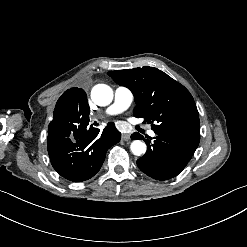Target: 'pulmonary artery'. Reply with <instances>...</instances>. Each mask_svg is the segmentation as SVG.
Listing matches in <instances>:
<instances>
[{"instance_id": "e3ab8cb5", "label": "pulmonary artery", "mask_w": 247, "mask_h": 247, "mask_svg": "<svg viewBox=\"0 0 247 247\" xmlns=\"http://www.w3.org/2000/svg\"><path fill=\"white\" fill-rule=\"evenodd\" d=\"M134 100L133 91L126 86H118L115 89V97L114 102L111 106H109L105 113L106 114H116L119 113L126 108H128ZM150 136L155 137L156 133L152 130L149 131Z\"/></svg>"}]
</instances>
